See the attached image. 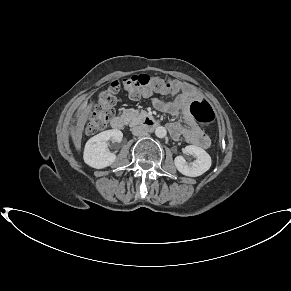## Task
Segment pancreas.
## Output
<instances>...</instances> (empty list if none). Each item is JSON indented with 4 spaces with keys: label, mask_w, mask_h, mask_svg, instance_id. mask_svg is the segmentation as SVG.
<instances>
[{
    "label": "pancreas",
    "mask_w": 291,
    "mask_h": 291,
    "mask_svg": "<svg viewBox=\"0 0 291 291\" xmlns=\"http://www.w3.org/2000/svg\"><path fill=\"white\" fill-rule=\"evenodd\" d=\"M122 115L127 119L130 126L138 124L148 114L144 110L125 109Z\"/></svg>",
    "instance_id": "obj_1"
}]
</instances>
